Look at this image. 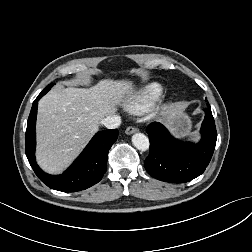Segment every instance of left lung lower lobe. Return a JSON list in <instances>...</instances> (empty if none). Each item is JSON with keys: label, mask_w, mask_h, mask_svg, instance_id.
<instances>
[{"label": "left lung lower lobe", "mask_w": 252, "mask_h": 252, "mask_svg": "<svg viewBox=\"0 0 252 252\" xmlns=\"http://www.w3.org/2000/svg\"><path fill=\"white\" fill-rule=\"evenodd\" d=\"M205 112L201 127L202 138L197 144L175 139L160 123H153L147 128L150 153L144 166L152 177L170 183H183L191 181L205 171L217 139L209 104Z\"/></svg>", "instance_id": "1"}]
</instances>
